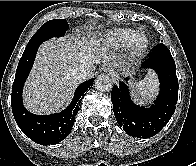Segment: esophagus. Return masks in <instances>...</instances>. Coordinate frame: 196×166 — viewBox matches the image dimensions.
I'll list each match as a JSON object with an SVG mask.
<instances>
[{
  "instance_id": "1",
  "label": "esophagus",
  "mask_w": 196,
  "mask_h": 166,
  "mask_svg": "<svg viewBox=\"0 0 196 166\" xmlns=\"http://www.w3.org/2000/svg\"><path fill=\"white\" fill-rule=\"evenodd\" d=\"M106 72L114 79L116 83L119 81V76L114 72V70L110 66L106 69Z\"/></svg>"
}]
</instances>
